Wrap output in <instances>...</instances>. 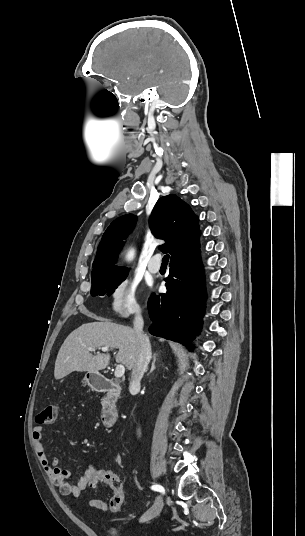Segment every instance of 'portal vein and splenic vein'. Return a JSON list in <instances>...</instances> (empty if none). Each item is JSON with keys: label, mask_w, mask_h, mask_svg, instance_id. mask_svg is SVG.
Wrapping results in <instances>:
<instances>
[{"label": "portal vein and splenic vein", "mask_w": 305, "mask_h": 536, "mask_svg": "<svg viewBox=\"0 0 305 536\" xmlns=\"http://www.w3.org/2000/svg\"><path fill=\"white\" fill-rule=\"evenodd\" d=\"M87 350H90V352H94V348H87ZM99 350H102V352H109V348H99ZM124 374H125L124 366H116V370L114 372L115 378H122Z\"/></svg>", "instance_id": "portal-vein-and-splenic-vein-1"}]
</instances>
